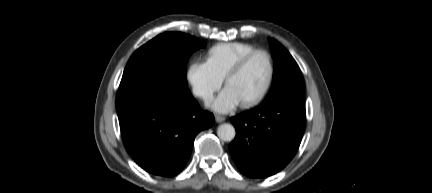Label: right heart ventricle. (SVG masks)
I'll return each mask as SVG.
<instances>
[{
  "instance_id": "obj_1",
  "label": "right heart ventricle",
  "mask_w": 432,
  "mask_h": 193,
  "mask_svg": "<svg viewBox=\"0 0 432 193\" xmlns=\"http://www.w3.org/2000/svg\"><path fill=\"white\" fill-rule=\"evenodd\" d=\"M256 49L250 43H221L212 46L207 53L206 62L211 70L224 80L229 70L245 55Z\"/></svg>"
}]
</instances>
